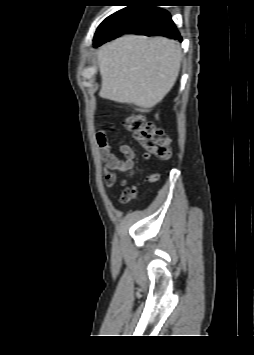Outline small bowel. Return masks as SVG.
Instances as JSON below:
<instances>
[{
    "label": "small bowel",
    "mask_w": 254,
    "mask_h": 355,
    "mask_svg": "<svg viewBox=\"0 0 254 355\" xmlns=\"http://www.w3.org/2000/svg\"><path fill=\"white\" fill-rule=\"evenodd\" d=\"M111 126L113 125L111 124ZM96 142L100 158L104 163V181L106 187L110 188L117 182L124 187L120 197L122 204H126L135 198L137 189L141 183H152L160 180V174L155 173L145 177L142 182L133 186H127V179L134 174L135 153L133 149L126 144H118L117 148L119 152L124 155V159H120L113 152L104 131L97 132ZM144 159L147 160L149 158L144 155ZM121 173H125L124 178L121 177ZM131 191L135 192L133 196L131 195Z\"/></svg>",
    "instance_id": "small-bowel-1"
}]
</instances>
